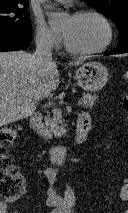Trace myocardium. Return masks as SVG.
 I'll return each instance as SVG.
<instances>
[{
	"label": "myocardium",
	"instance_id": "obj_1",
	"mask_svg": "<svg viewBox=\"0 0 128 213\" xmlns=\"http://www.w3.org/2000/svg\"><path fill=\"white\" fill-rule=\"evenodd\" d=\"M84 16H94L103 22V24L106 28V39H105L104 43L101 46L94 48V49H77V48L72 47L64 36L65 49L69 53L75 54V55H93V54H97V53H101V52L105 51L111 45V43L113 42V39H114V28H113V25H112L110 19L102 12L94 10V9L79 10V11L75 12L72 17L81 18Z\"/></svg>",
	"mask_w": 128,
	"mask_h": 213
}]
</instances>
